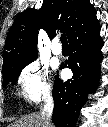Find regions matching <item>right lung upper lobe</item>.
<instances>
[{
    "label": "right lung upper lobe",
    "instance_id": "right-lung-upper-lobe-1",
    "mask_svg": "<svg viewBox=\"0 0 108 127\" xmlns=\"http://www.w3.org/2000/svg\"><path fill=\"white\" fill-rule=\"evenodd\" d=\"M96 18L89 0H44L39 10L28 9L18 15L10 28L3 66L37 56L38 30L53 38L56 30L64 31L68 40Z\"/></svg>",
    "mask_w": 108,
    "mask_h": 127
}]
</instances>
